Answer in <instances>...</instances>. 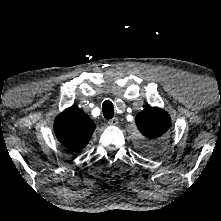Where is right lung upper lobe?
I'll list each match as a JSON object with an SVG mask.
<instances>
[{
  "mask_svg": "<svg viewBox=\"0 0 221 221\" xmlns=\"http://www.w3.org/2000/svg\"><path fill=\"white\" fill-rule=\"evenodd\" d=\"M95 127L93 120L74 105L56 118L54 132L64 147L78 152L88 144Z\"/></svg>",
  "mask_w": 221,
  "mask_h": 221,
  "instance_id": "cb5924a9",
  "label": "right lung upper lobe"
}]
</instances>
